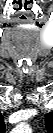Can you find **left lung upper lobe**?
I'll return each mask as SVG.
<instances>
[{"mask_svg":"<svg viewBox=\"0 0 53 133\" xmlns=\"http://www.w3.org/2000/svg\"><path fill=\"white\" fill-rule=\"evenodd\" d=\"M45 119H46V120H47V122H48L49 115H46V116H45ZM46 127H47V129H48V123H46Z\"/></svg>","mask_w":53,"mask_h":133,"instance_id":"1","label":"left lung upper lobe"}]
</instances>
